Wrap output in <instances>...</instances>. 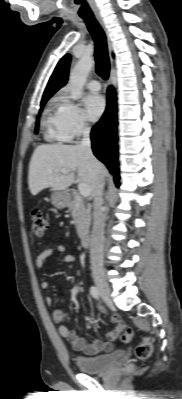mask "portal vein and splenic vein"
Here are the masks:
<instances>
[{"instance_id":"obj_1","label":"portal vein and splenic vein","mask_w":182,"mask_h":399,"mask_svg":"<svg viewBox=\"0 0 182 399\" xmlns=\"http://www.w3.org/2000/svg\"><path fill=\"white\" fill-rule=\"evenodd\" d=\"M62 173L67 174L69 173L68 171L64 170L62 171ZM78 190L79 193L83 196V197H88L90 195V190L87 187V185L83 184V183H79L78 184Z\"/></svg>"}]
</instances>
